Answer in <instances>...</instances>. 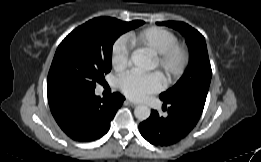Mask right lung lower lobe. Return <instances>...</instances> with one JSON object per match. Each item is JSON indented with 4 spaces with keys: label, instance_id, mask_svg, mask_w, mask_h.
Returning a JSON list of instances; mask_svg holds the SVG:
<instances>
[{
    "label": "right lung lower lobe",
    "instance_id": "98d812e1",
    "mask_svg": "<svg viewBox=\"0 0 261 162\" xmlns=\"http://www.w3.org/2000/svg\"><path fill=\"white\" fill-rule=\"evenodd\" d=\"M124 99L119 93H113L108 99H101L94 92L70 93L49 105L56 122L70 138L89 142L108 132L110 121Z\"/></svg>",
    "mask_w": 261,
    "mask_h": 162
}]
</instances>
